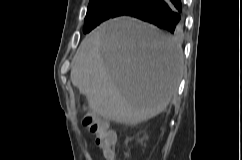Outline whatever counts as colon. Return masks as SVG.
<instances>
[{"label":"colon","mask_w":242,"mask_h":160,"mask_svg":"<svg viewBox=\"0 0 242 160\" xmlns=\"http://www.w3.org/2000/svg\"><path fill=\"white\" fill-rule=\"evenodd\" d=\"M83 124L95 135L96 144L103 151L104 156L107 159H112L114 156L113 144L115 135L108 129L107 122L97 117L94 113L86 111L83 116Z\"/></svg>","instance_id":"obj_1"}]
</instances>
